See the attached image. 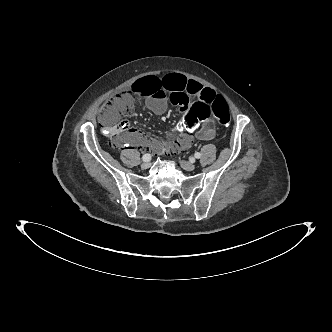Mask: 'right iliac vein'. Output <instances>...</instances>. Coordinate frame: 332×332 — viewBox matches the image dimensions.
I'll list each match as a JSON object with an SVG mask.
<instances>
[{"label": "right iliac vein", "instance_id": "right-iliac-vein-1", "mask_svg": "<svg viewBox=\"0 0 332 332\" xmlns=\"http://www.w3.org/2000/svg\"><path fill=\"white\" fill-rule=\"evenodd\" d=\"M150 162L149 161H144L141 165L142 169H148L150 167Z\"/></svg>", "mask_w": 332, "mask_h": 332}]
</instances>
